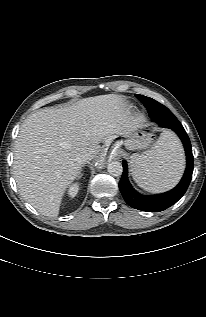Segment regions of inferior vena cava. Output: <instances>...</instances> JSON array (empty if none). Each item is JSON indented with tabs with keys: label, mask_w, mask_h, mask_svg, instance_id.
Here are the masks:
<instances>
[{
	"label": "inferior vena cava",
	"mask_w": 206,
	"mask_h": 317,
	"mask_svg": "<svg viewBox=\"0 0 206 317\" xmlns=\"http://www.w3.org/2000/svg\"><path fill=\"white\" fill-rule=\"evenodd\" d=\"M93 158L94 154L92 152H82L78 155L77 160L80 164H85Z\"/></svg>",
	"instance_id": "602c4592"
}]
</instances>
